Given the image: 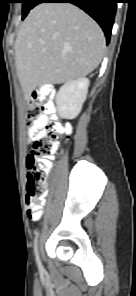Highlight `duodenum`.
Returning <instances> with one entry per match:
<instances>
[{"mask_svg": "<svg viewBox=\"0 0 136 296\" xmlns=\"http://www.w3.org/2000/svg\"><path fill=\"white\" fill-rule=\"evenodd\" d=\"M45 94H46V86L43 85L38 89L37 96L39 98H43Z\"/></svg>", "mask_w": 136, "mask_h": 296, "instance_id": "obj_1", "label": "duodenum"}]
</instances>
